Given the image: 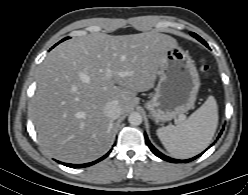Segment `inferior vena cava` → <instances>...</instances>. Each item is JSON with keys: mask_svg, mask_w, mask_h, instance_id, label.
Wrapping results in <instances>:
<instances>
[{"mask_svg": "<svg viewBox=\"0 0 248 195\" xmlns=\"http://www.w3.org/2000/svg\"><path fill=\"white\" fill-rule=\"evenodd\" d=\"M104 114L108 118L115 120L121 115V107L116 101H110L104 106Z\"/></svg>", "mask_w": 248, "mask_h": 195, "instance_id": "inferior-vena-cava-1", "label": "inferior vena cava"}]
</instances>
